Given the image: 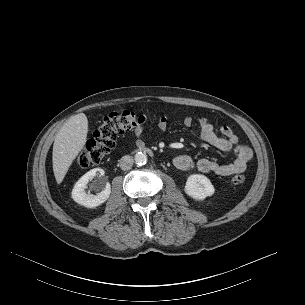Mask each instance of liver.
<instances>
[{"mask_svg":"<svg viewBox=\"0 0 305 305\" xmlns=\"http://www.w3.org/2000/svg\"><path fill=\"white\" fill-rule=\"evenodd\" d=\"M88 133V119L84 113L72 116L57 133L52 152L53 172L61 184L69 167L83 149Z\"/></svg>","mask_w":305,"mask_h":305,"instance_id":"obj_1","label":"liver"}]
</instances>
